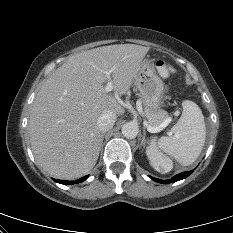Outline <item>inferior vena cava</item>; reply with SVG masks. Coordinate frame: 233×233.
<instances>
[{
	"mask_svg": "<svg viewBox=\"0 0 233 233\" xmlns=\"http://www.w3.org/2000/svg\"><path fill=\"white\" fill-rule=\"evenodd\" d=\"M116 114L110 110H105L102 112L97 120V126L101 132H106L114 126L116 121Z\"/></svg>",
	"mask_w": 233,
	"mask_h": 233,
	"instance_id": "602c4592",
	"label": "inferior vena cava"
}]
</instances>
